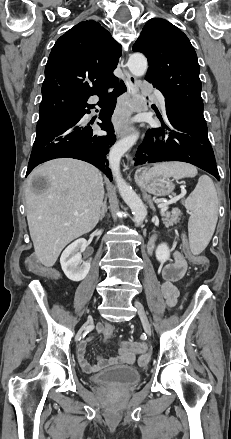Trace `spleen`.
Returning a JSON list of instances; mask_svg holds the SVG:
<instances>
[{"label":"spleen","instance_id":"3e777b00","mask_svg":"<svg viewBox=\"0 0 231 439\" xmlns=\"http://www.w3.org/2000/svg\"><path fill=\"white\" fill-rule=\"evenodd\" d=\"M149 175L181 179L196 176L197 169L182 162L161 163L152 167ZM185 207L191 212L188 222L190 248L198 255L209 244L218 220V197L210 177L199 178L196 188L185 200Z\"/></svg>","mask_w":231,"mask_h":439}]
</instances>
